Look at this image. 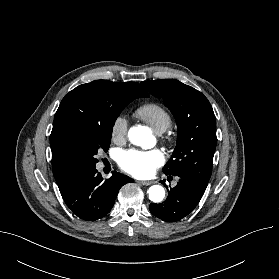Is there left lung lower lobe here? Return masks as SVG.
Returning a JSON list of instances; mask_svg holds the SVG:
<instances>
[{
  "mask_svg": "<svg viewBox=\"0 0 279 279\" xmlns=\"http://www.w3.org/2000/svg\"><path fill=\"white\" fill-rule=\"evenodd\" d=\"M179 177L178 184L168 191V197L164 203H151L149 206L154 216L166 222L179 221L191 213L207 187V183L194 177L186 175Z\"/></svg>",
  "mask_w": 279,
  "mask_h": 279,
  "instance_id": "left-lung-lower-lobe-1",
  "label": "left lung lower lobe"
}]
</instances>
